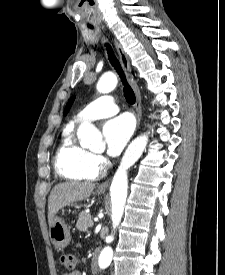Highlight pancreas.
Returning a JSON list of instances; mask_svg holds the SVG:
<instances>
[{"label": "pancreas", "mask_w": 225, "mask_h": 275, "mask_svg": "<svg viewBox=\"0 0 225 275\" xmlns=\"http://www.w3.org/2000/svg\"><path fill=\"white\" fill-rule=\"evenodd\" d=\"M91 221V215L83 211L79 214L76 228L79 231L86 232L88 228L92 226L90 223Z\"/></svg>", "instance_id": "obj_1"}]
</instances>
